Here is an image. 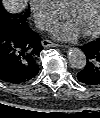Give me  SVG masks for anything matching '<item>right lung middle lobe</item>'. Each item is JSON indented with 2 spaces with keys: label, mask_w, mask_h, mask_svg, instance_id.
I'll return each mask as SVG.
<instances>
[{
  "label": "right lung middle lobe",
  "mask_w": 100,
  "mask_h": 118,
  "mask_svg": "<svg viewBox=\"0 0 100 118\" xmlns=\"http://www.w3.org/2000/svg\"><path fill=\"white\" fill-rule=\"evenodd\" d=\"M0 10H1V20H0V22L3 20V18H5V17H7V16H9V14L8 13H6V11L3 9V7L2 6H0ZM29 14H30V11H29V9L25 12V14L24 15H22V16H19V17H22V18H27L28 16H29Z\"/></svg>",
  "instance_id": "right-lung-middle-lobe-1"
}]
</instances>
